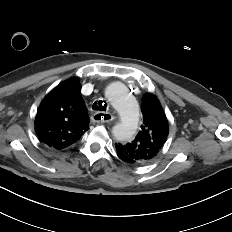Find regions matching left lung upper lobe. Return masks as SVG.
Listing matches in <instances>:
<instances>
[{"instance_id": "1", "label": "left lung upper lobe", "mask_w": 232, "mask_h": 232, "mask_svg": "<svg viewBox=\"0 0 232 232\" xmlns=\"http://www.w3.org/2000/svg\"><path fill=\"white\" fill-rule=\"evenodd\" d=\"M141 108L143 124L136 138L127 144H116V151L127 156L134 165L152 161L163 147L169 133L166 115L154 95H144Z\"/></svg>"}]
</instances>
